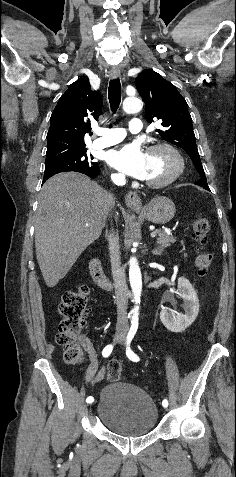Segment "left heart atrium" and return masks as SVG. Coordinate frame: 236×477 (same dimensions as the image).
<instances>
[{
	"instance_id": "left-heart-atrium-1",
	"label": "left heart atrium",
	"mask_w": 236,
	"mask_h": 477,
	"mask_svg": "<svg viewBox=\"0 0 236 477\" xmlns=\"http://www.w3.org/2000/svg\"><path fill=\"white\" fill-rule=\"evenodd\" d=\"M108 163L122 173L145 179L147 174V153L138 143L125 144L111 150L107 155Z\"/></svg>"
}]
</instances>
